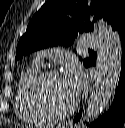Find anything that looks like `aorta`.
<instances>
[{"label":"aorta","mask_w":125,"mask_h":128,"mask_svg":"<svg viewBox=\"0 0 125 128\" xmlns=\"http://www.w3.org/2000/svg\"><path fill=\"white\" fill-rule=\"evenodd\" d=\"M96 30L101 41L96 79L85 110V119L88 122L96 119L109 104L121 67V43L118 34L101 20L96 23Z\"/></svg>","instance_id":"762f6f07"}]
</instances>
